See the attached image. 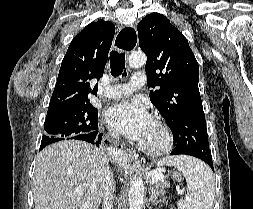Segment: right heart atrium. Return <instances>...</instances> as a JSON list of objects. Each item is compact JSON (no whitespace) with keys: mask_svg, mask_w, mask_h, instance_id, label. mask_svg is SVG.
<instances>
[{"mask_svg":"<svg viewBox=\"0 0 253 209\" xmlns=\"http://www.w3.org/2000/svg\"><path fill=\"white\" fill-rule=\"evenodd\" d=\"M109 136H110L111 138H113V137H115V134H114L113 132H110V133H109Z\"/></svg>","mask_w":253,"mask_h":209,"instance_id":"1","label":"right heart atrium"}]
</instances>
